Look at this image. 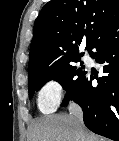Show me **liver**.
I'll list each match as a JSON object with an SVG mask.
<instances>
[{"mask_svg":"<svg viewBox=\"0 0 119 141\" xmlns=\"http://www.w3.org/2000/svg\"><path fill=\"white\" fill-rule=\"evenodd\" d=\"M29 141H105L90 133L72 115H51L36 121Z\"/></svg>","mask_w":119,"mask_h":141,"instance_id":"obj_1","label":"liver"}]
</instances>
